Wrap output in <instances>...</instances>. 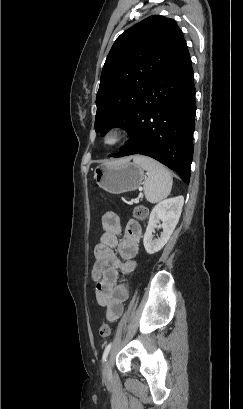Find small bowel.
I'll use <instances>...</instances> for the list:
<instances>
[{
  "instance_id": "obj_1",
  "label": "small bowel",
  "mask_w": 243,
  "mask_h": 409,
  "mask_svg": "<svg viewBox=\"0 0 243 409\" xmlns=\"http://www.w3.org/2000/svg\"><path fill=\"white\" fill-rule=\"evenodd\" d=\"M101 222L103 231L94 248L92 277L97 303L106 309V319L113 322L122 315L123 303L129 296L128 287L118 281L119 273L129 275L136 268L142 229L137 221L131 220L123 232L118 214L112 211L104 213ZM119 236H122L120 241Z\"/></svg>"
}]
</instances>
